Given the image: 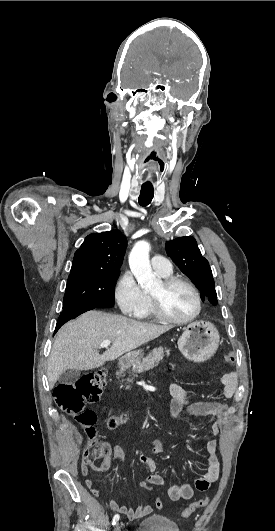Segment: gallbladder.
I'll return each mask as SVG.
<instances>
[{
	"label": "gallbladder",
	"mask_w": 275,
	"mask_h": 531,
	"mask_svg": "<svg viewBox=\"0 0 275 531\" xmlns=\"http://www.w3.org/2000/svg\"><path fill=\"white\" fill-rule=\"evenodd\" d=\"M81 373L80 371H75V369H68L66 373H63V375H60L59 377V383L60 385H74L78 379H80Z\"/></svg>",
	"instance_id": "1"
}]
</instances>
